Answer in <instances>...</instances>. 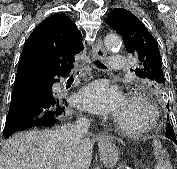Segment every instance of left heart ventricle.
Masks as SVG:
<instances>
[{
  "label": "left heart ventricle",
  "mask_w": 177,
  "mask_h": 169,
  "mask_svg": "<svg viewBox=\"0 0 177 169\" xmlns=\"http://www.w3.org/2000/svg\"><path fill=\"white\" fill-rule=\"evenodd\" d=\"M116 117L128 126H139L147 121V112L136 102L125 100Z\"/></svg>",
  "instance_id": "b2bd125f"
}]
</instances>
